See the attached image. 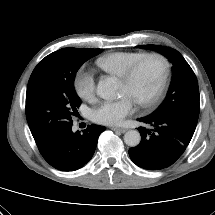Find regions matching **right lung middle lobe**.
Wrapping results in <instances>:
<instances>
[{
	"label": "right lung middle lobe",
	"mask_w": 215,
	"mask_h": 215,
	"mask_svg": "<svg viewBox=\"0 0 215 215\" xmlns=\"http://www.w3.org/2000/svg\"><path fill=\"white\" fill-rule=\"evenodd\" d=\"M103 49L63 48L46 56L32 72L26 118L36 144L72 124L81 100L74 89L80 66Z\"/></svg>",
	"instance_id": "dd1d6c3e"
}]
</instances>
